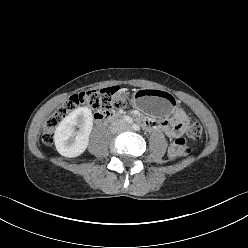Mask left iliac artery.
Here are the masks:
<instances>
[{"label": "left iliac artery", "instance_id": "left-iliac-artery-1", "mask_svg": "<svg viewBox=\"0 0 248 248\" xmlns=\"http://www.w3.org/2000/svg\"><path fill=\"white\" fill-rule=\"evenodd\" d=\"M132 127L134 130H140V127L137 124H133Z\"/></svg>", "mask_w": 248, "mask_h": 248}]
</instances>
